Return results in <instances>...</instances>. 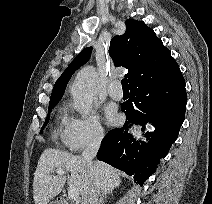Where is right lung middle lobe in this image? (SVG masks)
Listing matches in <instances>:
<instances>
[{"instance_id":"dd1d6c3e","label":"right lung middle lobe","mask_w":212,"mask_h":204,"mask_svg":"<svg viewBox=\"0 0 212 204\" xmlns=\"http://www.w3.org/2000/svg\"><path fill=\"white\" fill-rule=\"evenodd\" d=\"M56 104H57V103H50V104H49V109H48V110L50 111L51 109H53L54 106H55ZM48 116H49V114H48ZM47 122H48V117L46 118V121H45L43 127L47 124Z\"/></svg>"}]
</instances>
